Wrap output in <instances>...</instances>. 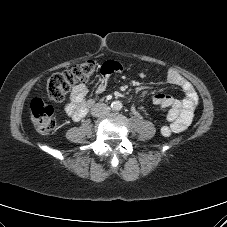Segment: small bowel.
Wrapping results in <instances>:
<instances>
[{"label": "small bowel", "mask_w": 227, "mask_h": 227, "mask_svg": "<svg viewBox=\"0 0 227 227\" xmlns=\"http://www.w3.org/2000/svg\"><path fill=\"white\" fill-rule=\"evenodd\" d=\"M122 67L119 63L109 61L101 66V79L96 88V93H103L107 87L108 79L114 72H119ZM167 80L170 84L181 88L185 94V98L178 100L172 96L165 94H155L152 102L160 110H167V120L169 124L161 128V133L165 137H169L175 133H181L187 129L193 119L194 111L198 106L199 97L192 85L187 79L175 70H169ZM144 90L143 87L138 91ZM87 87L84 84L76 85L70 94L69 101L65 105V111L73 120L79 121L84 118L93 105V99H86Z\"/></svg>", "instance_id": "obj_1"}]
</instances>
